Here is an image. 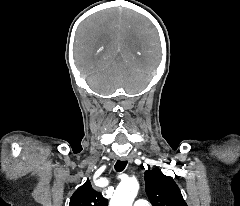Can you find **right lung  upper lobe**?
<instances>
[{"mask_svg": "<svg viewBox=\"0 0 240 206\" xmlns=\"http://www.w3.org/2000/svg\"><path fill=\"white\" fill-rule=\"evenodd\" d=\"M69 206H108V200L87 181L74 192Z\"/></svg>", "mask_w": 240, "mask_h": 206, "instance_id": "cb5924a9", "label": "right lung upper lobe"}]
</instances>
